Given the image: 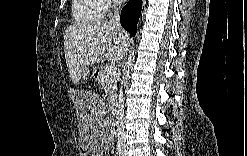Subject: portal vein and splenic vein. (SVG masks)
I'll return each instance as SVG.
<instances>
[{
	"instance_id": "obj_1",
	"label": "portal vein and splenic vein",
	"mask_w": 247,
	"mask_h": 156,
	"mask_svg": "<svg viewBox=\"0 0 247 156\" xmlns=\"http://www.w3.org/2000/svg\"><path fill=\"white\" fill-rule=\"evenodd\" d=\"M105 72L107 75H115L117 68L114 65H109L106 67Z\"/></svg>"
}]
</instances>
